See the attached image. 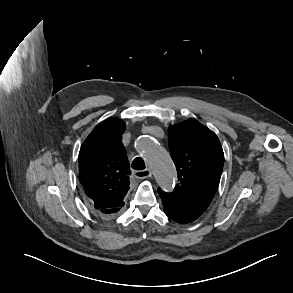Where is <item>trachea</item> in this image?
<instances>
[{"mask_svg":"<svg viewBox=\"0 0 293 293\" xmlns=\"http://www.w3.org/2000/svg\"><path fill=\"white\" fill-rule=\"evenodd\" d=\"M132 168L135 170L145 169V164L142 158L136 157L132 162Z\"/></svg>","mask_w":293,"mask_h":293,"instance_id":"3493384b","label":"trachea"}]
</instances>
